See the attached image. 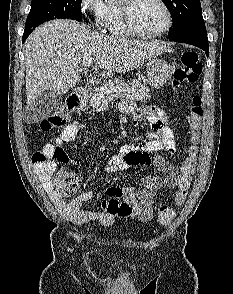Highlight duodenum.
Listing matches in <instances>:
<instances>
[{"instance_id": "1", "label": "duodenum", "mask_w": 233, "mask_h": 294, "mask_svg": "<svg viewBox=\"0 0 233 294\" xmlns=\"http://www.w3.org/2000/svg\"><path fill=\"white\" fill-rule=\"evenodd\" d=\"M87 93L88 90L85 88H79L75 90L67 99V108L70 111L77 110L86 97Z\"/></svg>"}]
</instances>
